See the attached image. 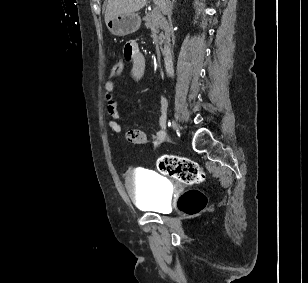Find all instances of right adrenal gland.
<instances>
[{
    "label": "right adrenal gland",
    "instance_id": "1",
    "mask_svg": "<svg viewBox=\"0 0 308 283\" xmlns=\"http://www.w3.org/2000/svg\"><path fill=\"white\" fill-rule=\"evenodd\" d=\"M175 0H172V2L170 3V5H171V7H173V2H174Z\"/></svg>",
    "mask_w": 308,
    "mask_h": 283
}]
</instances>
